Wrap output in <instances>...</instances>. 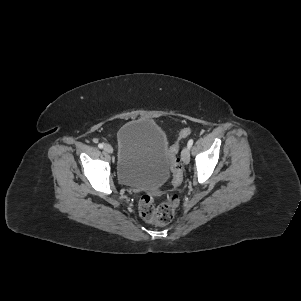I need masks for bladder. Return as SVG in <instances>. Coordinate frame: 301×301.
I'll use <instances>...</instances> for the list:
<instances>
[{
  "instance_id": "obj_1",
  "label": "bladder",
  "mask_w": 301,
  "mask_h": 301,
  "mask_svg": "<svg viewBox=\"0 0 301 301\" xmlns=\"http://www.w3.org/2000/svg\"><path fill=\"white\" fill-rule=\"evenodd\" d=\"M116 174L133 188H156L168 177L169 142L163 129L147 119L124 124L117 134Z\"/></svg>"
}]
</instances>
